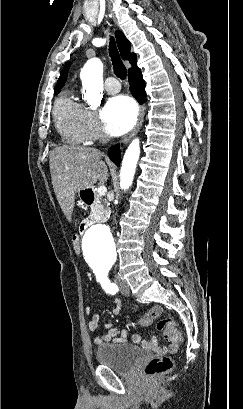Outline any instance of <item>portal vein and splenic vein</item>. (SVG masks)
Wrapping results in <instances>:
<instances>
[{
	"label": "portal vein and splenic vein",
	"instance_id": "1",
	"mask_svg": "<svg viewBox=\"0 0 243 409\" xmlns=\"http://www.w3.org/2000/svg\"><path fill=\"white\" fill-rule=\"evenodd\" d=\"M107 192V188L105 186H100L97 190L98 195L104 196Z\"/></svg>",
	"mask_w": 243,
	"mask_h": 409
}]
</instances>
